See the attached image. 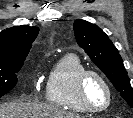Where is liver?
<instances>
[{
    "label": "liver",
    "instance_id": "liver-1",
    "mask_svg": "<svg viewBox=\"0 0 133 118\" xmlns=\"http://www.w3.org/2000/svg\"><path fill=\"white\" fill-rule=\"evenodd\" d=\"M0 118H82L80 115L51 105L26 102L0 104Z\"/></svg>",
    "mask_w": 133,
    "mask_h": 118
}]
</instances>
